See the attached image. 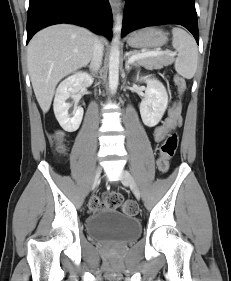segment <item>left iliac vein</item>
Segmentation results:
<instances>
[{"mask_svg": "<svg viewBox=\"0 0 231 281\" xmlns=\"http://www.w3.org/2000/svg\"><path fill=\"white\" fill-rule=\"evenodd\" d=\"M120 179H121V182L125 186H129L131 188L135 197L137 199H140V197H141L140 190H139L138 186L136 185L133 177L131 176V174L127 170H123L121 172Z\"/></svg>", "mask_w": 231, "mask_h": 281, "instance_id": "1", "label": "left iliac vein"}]
</instances>
